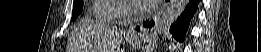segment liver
<instances>
[{"mask_svg":"<svg viewBox=\"0 0 261 52\" xmlns=\"http://www.w3.org/2000/svg\"><path fill=\"white\" fill-rule=\"evenodd\" d=\"M88 32L92 39L94 38L93 46L89 47L91 52H100L97 50H108V44L117 42L122 39L124 32L116 27H110L104 23H91L88 26ZM101 39V42L99 41ZM103 52V51H101Z\"/></svg>","mask_w":261,"mask_h":52,"instance_id":"obj_1","label":"liver"}]
</instances>
